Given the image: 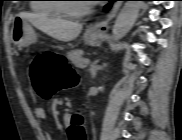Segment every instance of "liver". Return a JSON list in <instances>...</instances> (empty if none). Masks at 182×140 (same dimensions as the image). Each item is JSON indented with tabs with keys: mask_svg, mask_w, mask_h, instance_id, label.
<instances>
[{
	"mask_svg": "<svg viewBox=\"0 0 182 140\" xmlns=\"http://www.w3.org/2000/svg\"><path fill=\"white\" fill-rule=\"evenodd\" d=\"M20 16L47 35L63 42L75 39L82 30V24L78 22L49 18L42 14L20 13Z\"/></svg>",
	"mask_w": 182,
	"mask_h": 140,
	"instance_id": "6515ba94",
	"label": "liver"
}]
</instances>
